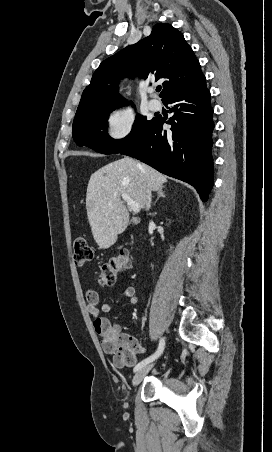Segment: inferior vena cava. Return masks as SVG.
Segmentation results:
<instances>
[{
    "mask_svg": "<svg viewBox=\"0 0 272 452\" xmlns=\"http://www.w3.org/2000/svg\"><path fill=\"white\" fill-rule=\"evenodd\" d=\"M151 197H152L151 190L147 189L146 192H145V207H146V210H149L150 207H151Z\"/></svg>",
    "mask_w": 272,
    "mask_h": 452,
    "instance_id": "obj_1",
    "label": "inferior vena cava"
}]
</instances>
